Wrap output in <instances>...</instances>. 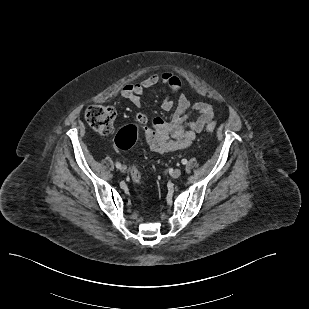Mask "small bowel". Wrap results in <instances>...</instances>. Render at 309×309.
<instances>
[{
    "instance_id": "c3829d8e",
    "label": "small bowel",
    "mask_w": 309,
    "mask_h": 309,
    "mask_svg": "<svg viewBox=\"0 0 309 309\" xmlns=\"http://www.w3.org/2000/svg\"><path fill=\"white\" fill-rule=\"evenodd\" d=\"M158 83L164 86L165 94L161 102V108L164 111L172 110L175 104L169 93L178 94V99L177 107L170 121L160 117L153 119V132L159 140V146L154 150L165 153L184 149L190 146L197 134L201 133L205 126L213 120L214 109L207 102L192 104L189 97L180 92L182 87L180 78L168 71L161 74L151 73L140 82L125 85L121 90V95L129 99L137 108H142L141 96L147 89ZM191 112H196L198 116L189 121ZM136 119L141 125H146L148 122L147 115L143 111L137 113Z\"/></svg>"
}]
</instances>
